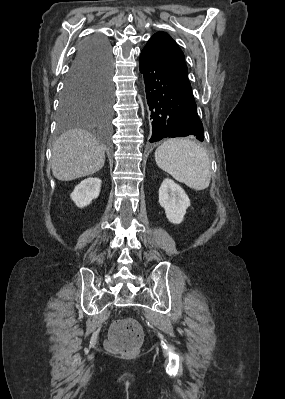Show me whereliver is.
Wrapping results in <instances>:
<instances>
[{"instance_id":"1","label":"liver","mask_w":285,"mask_h":399,"mask_svg":"<svg viewBox=\"0 0 285 399\" xmlns=\"http://www.w3.org/2000/svg\"><path fill=\"white\" fill-rule=\"evenodd\" d=\"M104 163L105 148L85 130L63 133L52 148V173L61 181L92 175L102 169Z\"/></svg>"}]
</instances>
